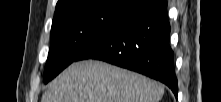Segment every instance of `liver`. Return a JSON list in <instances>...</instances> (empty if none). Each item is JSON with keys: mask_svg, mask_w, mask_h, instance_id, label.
I'll return each instance as SVG.
<instances>
[{"mask_svg": "<svg viewBox=\"0 0 221 102\" xmlns=\"http://www.w3.org/2000/svg\"><path fill=\"white\" fill-rule=\"evenodd\" d=\"M164 87L101 61L73 63L54 79L41 102H159Z\"/></svg>", "mask_w": 221, "mask_h": 102, "instance_id": "obj_1", "label": "liver"}]
</instances>
